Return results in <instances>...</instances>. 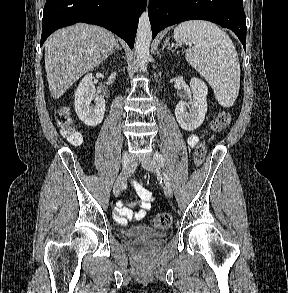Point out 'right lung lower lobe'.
Wrapping results in <instances>:
<instances>
[{
	"label": "right lung lower lobe",
	"mask_w": 288,
	"mask_h": 293,
	"mask_svg": "<svg viewBox=\"0 0 288 293\" xmlns=\"http://www.w3.org/2000/svg\"><path fill=\"white\" fill-rule=\"evenodd\" d=\"M147 0H46L40 46L55 30L85 22L102 26L134 47L138 19Z\"/></svg>",
	"instance_id": "98d812e1"
}]
</instances>
